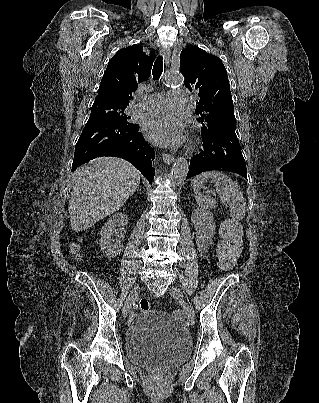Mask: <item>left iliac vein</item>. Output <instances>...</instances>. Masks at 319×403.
<instances>
[{"label":"left iliac vein","mask_w":319,"mask_h":403,"mask_svg":"<svg viewBox=\"0 0 319 403\" xmlns=\"http://www.w3.org/2000/svg\"><path fill=\"white\" fill-rule=\"evenodd\" d=\"M171 296L182 306L187 322L192 326L194 324V310L190 303L185 299L183 293L175 286H170Z\"/></svg>","instance_id":"left-iliac-vein-1"}]
</instances>
